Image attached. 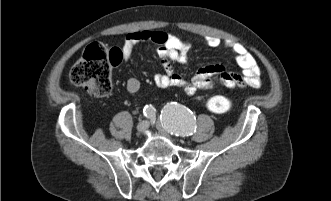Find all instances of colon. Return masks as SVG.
Segmentation results:
<instances>
[{
  "instance_id": "colon-1",
  "label": "colon",
  "mask_w": 331,
  "mask_h": 201,
  "mask_svg": "<svg viewBox=\"0 0 331 201\" xmlns=\"http://www.w3.org/2000/svg\"><path fill=\"white\" fill-rule=\"evenodd\" d=\"M122 58L118 49H107L98 43L90 44L83 56L75 63L69 73V82L86 90L88 93L104 97L111 92V67ZM234 105L227 96H213L207 99L209 111L222 114L230 111Z\"/></svg>"
}]
</instances>
